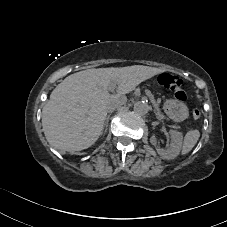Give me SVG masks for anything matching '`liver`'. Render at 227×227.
<instances>
[{"label": "liver", "mask_w": 227, "mask_h": 227, "mask_svg": "<svg viewBox=\"0 0 227 227\" xmlns=\"http://www.w3.org/2000/svg\"><path fill=\"white\" fill-rule=\"evenodd\" d=\"M161 69L134 65L80 71L66 77L50 94L42 109V126L48 143L64 151H81L99 138L107 115L109 85L123 93ZM129 86V90L122 89Z\"/></svg>", "instance_id": "1"}]
</instances>
